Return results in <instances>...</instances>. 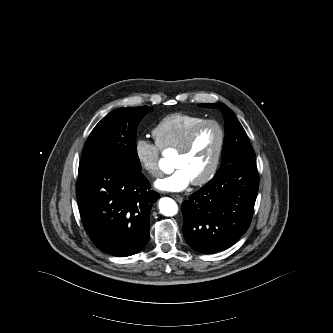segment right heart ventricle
Returning <instances> with one entry per match:
<instances>
[{
  "label": "right heart ventricle",
  "mask_w": 333,
  "mask_h": 333,
  "mask_svg": "<svg viewBox=\"0 0 333 333\" xmlns=\"http://www.w3.org/2000/svg\"><path fill=\"white\" fill-rule=\"evenodd\" d=\"M204 117L185 113H173L162 118L152 133L160 150L177 149L190 130Z\"/></svg>",
  "instance_id": "1"
}]
</instances>
